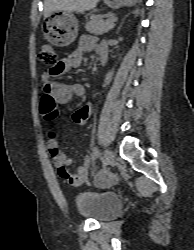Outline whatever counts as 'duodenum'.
Segmentation results:
<instances>
[{
  "instance_id": "1",
  "label": "duodenum",
  "mask_w": 194,
  "mask_h": 250,
  "mask_svg": "<svg viewBox=\"0 0 194 250\" xmlns=\"http://www.w3.org/2000/svg\"><path fill=\"white\" fill-rule=\"evenodd\" d=\"M99 59L102 64H105L107 61V54H104V53L100 54Z\"/></svg>"
}]
</instances>
